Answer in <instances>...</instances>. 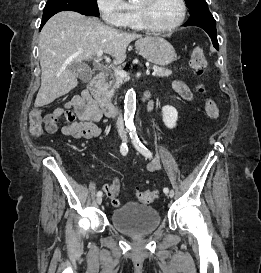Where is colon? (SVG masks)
<instances>
[{"mask_svg": "<svg viewBox=\"0 0 261 273\" xmlns=\"http://www.w3.org/2000/svg\"><path fill=\"white\" fill-rule=\"evenodd\" d=\"M190 66L193 69L194 73L201 77L204 74V71L207 66L205 53L202 47L194 46L191 51L190 57ZM198 91L200 93L204 92V85L200 84L198 87ZM205 110L209 118L218 119L220 112L219 107L216 101L208 98L205 101ZM30 128L32 133L35 136H41L43 133V123L44 119L41 111L32 110L29 115ZM137 198L146 204L154 202L159 197V192L157 190H137L136 191Z\"/></svg>", "mask_w": 261, "mask_h": 273, "instance_id": "obj_1", "label": "colon"}]
</instances>
